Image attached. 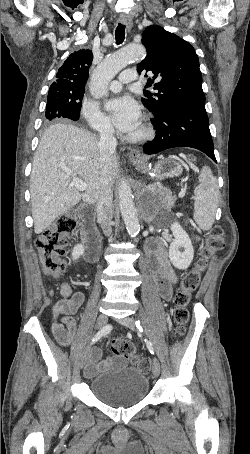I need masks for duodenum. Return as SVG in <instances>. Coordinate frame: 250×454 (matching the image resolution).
<instances>
[{
	"mask_svg": "<svg viewBox=\"0 0 250 454\" xmlns=\"http://www.w3.org/2000/svg\"><path fill=\"white\" fill-rule=\"evenodd\" d=\"M93 215L94 210L90 206L81 210L84 258L90 263L96 262L100 245V235L94 226Z\"/></svg>",
	"mask_w": 250,
	"mask_h": 454,
	"instance_id": "obj_1",
	"label": "duodenum"
}]
</instances>
